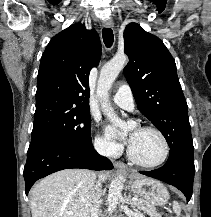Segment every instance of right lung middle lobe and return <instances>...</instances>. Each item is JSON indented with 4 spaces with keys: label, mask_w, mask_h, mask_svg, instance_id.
Returning <instances> with one entry per match:
<instances>
[{
    "label": "right lung middle lobe",
    "mask_w": 211,
    "mask_h": 217,
    "mask_svg": "<svg viewBox=\"0 0 211 217\" xmlns=\"http://www.w3.org/2000/svg\"><path fill=\"white\" fill-rule=\"evenodd\" d=\"M50 138L85 147L92 144L88 111L52 112L35 118L32 139Z\"/></svg>",
    "instance_id": "dd1d6c3e"
}]
</instances>
